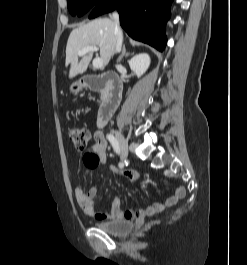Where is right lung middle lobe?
<instances>
[{"instance_id": "dd1d6c3e", "label": "right lung middle lobe", "mask_w": 247, "mask_h": 265, "mask_svg": "<svg viewBox=\"0 0 247 265\" xmlns=\"http://www.w3.org/2000/svg\"><path fill=\"white\" fill-rule=\"evenodd\" d=\"M107 0H67V6L71 15L82 16L93 6H97Z\"/></svg>"}]
</instances>
